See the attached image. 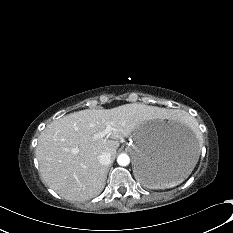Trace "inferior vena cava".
Here are the masks:
<instances>
[{"label":"inferior vena cava","instance_id":"1","mask_svg":"<svg viewBox=\"0 0 233 233\" xmlns=\"http://www.w3.org/2000/svg\"><path fill=\"white\" fill-rule=\"evenodd\" d=\"M98 160H99L100 164L107 166L111 163V154L109 152H102L98 156Z\"/></svg>","mask_w":233,"mask_h":233}]
</instances>
